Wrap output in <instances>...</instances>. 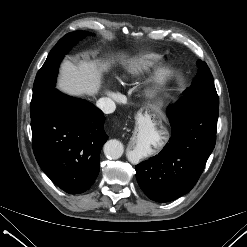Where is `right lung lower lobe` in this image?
<instances>
[{"instance_id": "right-lung-lower-lobe-1", "label": "right lung lower lobe", "mask_w": 247, "mask_h": 247, "mask_svg": "<svg viewBox=\"0 0 247 247\" xmlns=\"http://www.w3.org/2000/svg\"><path fill=\"white\" fill-rule=\"evenodd\" d=\"M36 160L63 191L88 190L99 173V156L108 136L103 112L91 103L54 90L31 118Z\"/></svg>"}]
</instances>
